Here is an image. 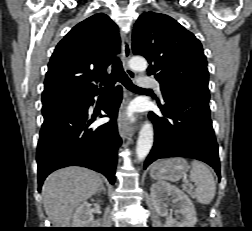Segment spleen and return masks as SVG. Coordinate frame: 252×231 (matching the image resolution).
<instances>
[{"instance_id": "spleen-1", "label": "spleen", "mask_w": 252, "mask_h": 231, "mask_svg": "<svg viewBox=\"0 0 252 231\" xmlns=\"http://www.w3.org/2000/svg\"><path fill=\"white\" fill-rule=\"evenodd\" d=\"M190 179L197 188L193 191L196 200L201 204H209L216 194V183L210 169L202 162H191Z\"/></svg>"}]
</instances>
